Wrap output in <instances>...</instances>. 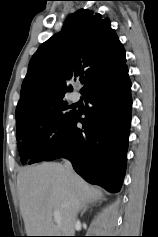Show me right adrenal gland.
<instances>
[{"label": "right adrenal gland", "instance_id": "2a0ac1e0", "mask_svg": "<svg viewBox=\"0 0 158 237\" xmlns=\"http://www.w3.org/2000/svg\"><path fill=\"white\" fill-rule=\"evenodd\" d=\"M92 204H94V203H93V202H88V203H86V204L83 206L82 210H81L80 216H83V214L88 210V208H89Z\"/></svg>", "mask_w": 158, "mask_h": 237}]
</instances>
